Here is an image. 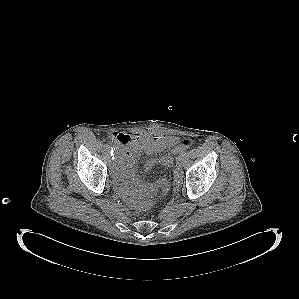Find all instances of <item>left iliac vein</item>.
I'll return each instance as SVG.
<instances>
[{"instance_id":"1","label":"left iliac vein","mask_w":299,"mask_h":299,"mask_svg":"<svg viewBox=\"0 0 299 299\" xmlns=\"http://www.w3.org/2000/svg\"><path fill=\"white\" fill-rule=\"evenodd\" d=\"M177 166L181 167L184 164V158L182 155L178 156L176 159Z\"/></svg>"}]
</instances>
